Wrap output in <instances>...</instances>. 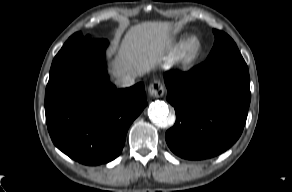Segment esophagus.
Wrapping results in <instances>:
<instances>
[{
	"mask_svg": "<svg viewBox=\"0 0 292 192\" xmlns=\"http://www.w3.org/2000/svg\"><path fill=\"white\" fill-rule=\"evenodd\" d=\"M165 87L160 81H153L148 87V93L151 97L159 98L164 95Z\"/></svg>",
	"mask_w": 292,
	"mask_h": 192,
	"instance_id": "34e87169",
	"label": "esophagus"
}]
</instances>
